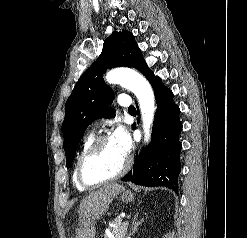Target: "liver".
<instances>
[{"label":"liver","instance_id":"6515ba94","mask_svg":"<svg viewBox=\"0 0 247 238\" xmlns=\"http://www.w3.org/2000/svg\"><path fill=\"white\" fill-rule=\"evenodd\" d=\"M124 187L113 183L85 196L79 205V229L76 238H95V223L106 212L113 198Z\"/></svg>","mask_w":247,"mask_h":238}]
</instances>
